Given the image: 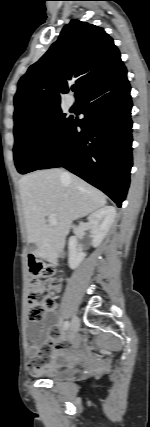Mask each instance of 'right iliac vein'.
<instances>
[{
    "label": "right iliac vein",
    "instance_id": "63e3f726",
    "mask_svg": "<svg viewBox=\"0 0 150 427\" xmlns=\"http://www.w3.org/2000/svg\"><path fill=\"white\" fill-rule=\"evenodd\" d=\"M79 326H80V321L77 316H74L71 320L70 328L73 332H76L79 329Z\"/></svg>",
    "mask_w": 150,
    "mask_h": 427
}]
</instances>
